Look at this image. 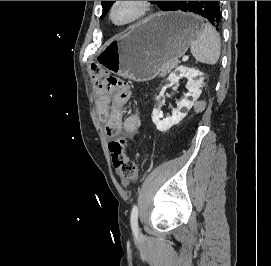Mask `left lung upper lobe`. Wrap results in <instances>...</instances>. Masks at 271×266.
<instances>
[{"instance_id": "obj_1", "label": "left lung upper lobe", "mask_w": 271, "mask_h": 266, "mask_svg": "<svg viewBox=\"0 0 271 266\" xmlns=\"http://www.w3.org/2000/svg\"><path fill=\"white\" fill-rule=\"evenodd\" d=\"M114 2L115 1H101L103 7V13L101 18L105 17V15L107 14V12L109 11L110 7L113 5ZM151 2L156 3L160 7V9H163L170 1H151Z\"/></svg>"}]
</instances>
